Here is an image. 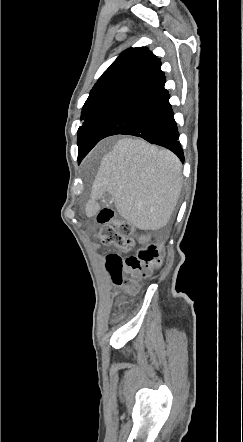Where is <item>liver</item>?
Wrapping results in <instances>:
<instances>
[{"label":"liver","mask_w":243,"mask_h":442,"mask_svg":"<svg viewBox=\"0 0 243 442\" xmlns=\"http://www.w3.org/2000/svg\"><path fill=\"white\" fill-rule=\"evenodd\" d=\"M182 188V164L169 150L142 139L122 138L101 160L86 203L97 214V199L109 193L118 213L140 230H159L170 220Z\"/></svg>","instance_id":"liver-1"}]
</instances>
